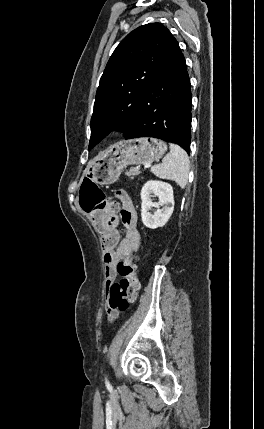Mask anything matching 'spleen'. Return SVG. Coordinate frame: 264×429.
Segmentation results:
<instances>
[{
	"instance_id": "3e777b00",
	"label": "spleen",
	"mask_w": 264,
	"mask_h": 429,
	"mask_svg": "<svg viewBox=\"0 0 264 429\" xmlns=\"http://www.w3.org/2000/svg\"><path fill=\"white\" fill-rule=\"evenodd\" d=\"M169 145L170 152L163 158L162 163L152 167L151 171L155 176L175 181L181 188H184L188 182V155L180 146L173 143Z\"/></svg>"
}]
</instances>
